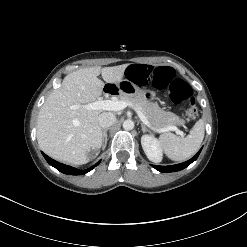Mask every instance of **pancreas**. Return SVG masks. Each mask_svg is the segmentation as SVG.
<instances>
[{"mask_svg": "<svg viewBox=\"0 0 247 247\" xmlns=\"http://www.w3.org/2000/svg\"><path fill=\"white\" fill-rule=\"evenodd\" d=\"M118 99L141 110L154 129H161L175 124H184V121L176 114L164 111L156 102H149L140 97H130L122 94L118 96Z\"/></svg>", "mask_w": 247, "mask_h": 247, "instance_id": "1", "label": "pancreas"}]
</instances>
